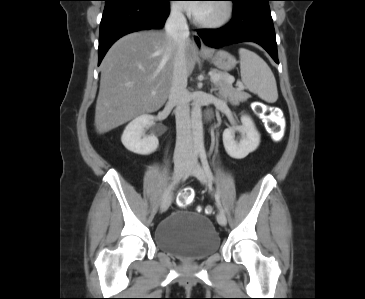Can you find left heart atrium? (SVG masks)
Segmentation results:
<instances>
[{"label": "left heart atrium", "mask_w": 365, "mask_h": 299, "mask_svg": "<svg viewBox=\"0 0 365 299\" xmlns=\"http://www.w3.org/2000/svg\"><path fill=\"white\" fill-rule=\"evenodd\" d=\"M203 3H188L186 4V9L192 13L193 15L197 16L204 8Z\"/></svg>", "instance_id": "obj_1"}]
</instances>
